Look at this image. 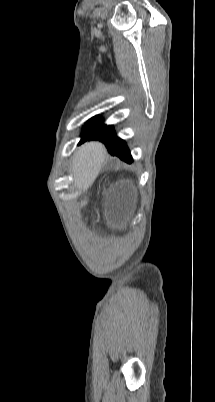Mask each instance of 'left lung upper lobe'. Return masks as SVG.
Listing matches in <instances>:
<instances>
[{
  "instance_id": "5c2ea615",
  "label": "left lung upper lobe",
  "mask_w": 215,
  "mask_h": 402,
  "mask_svg": "<svg viewBox=\"0 0 215 402\" xmlns=\"http://www.w3.org/2000/svg\"><path fill=\"white\" fill-rule=\"evenodd\" d=\"M87 127L83 128L82 136L90 135L100 129L104 124L101 121V118L95 116L91 118L86 124Z\"/></svg>"
}]
</instances>
